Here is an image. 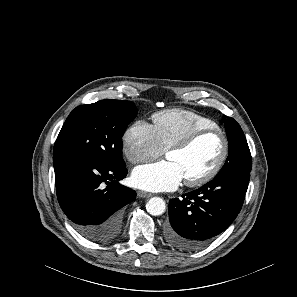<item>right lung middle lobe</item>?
Here are the masks:
<instances>
[{
	"label": "right lung middle lobe",
	"mask_w": 297,
	"mask_h": 297,
	"mask_svg": "<svg viewBox=\"0 0 297 297\" xmlns=\"http://www.w3.org/2000/svg\"><path fill=\"white\" fill-rule=\"evenodd\" d=\"M136 116L137 108L131 101L101 100L78 106L56 139L53 157L80 155L112 166H124L122 136Z\"/></svg>",
	"instance_id": "right-lung-middle-lobe-1"
}]
</instances>
